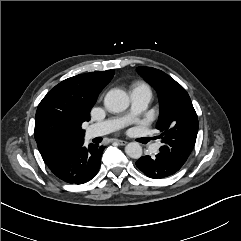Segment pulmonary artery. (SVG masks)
Instances as JSON below:
<instances>
[{"label":"pulmonary artery","instance_id":"1","mask_svg":"<svg viewBox=\"0 0 241 241\" xmlns=\"http://www.w3.org/2000/svg\"><path fill=\"white\" fill-rule=\"evenodd\" d=\"M151 97L152 94L148 87L133 88L131 90L132 105L129 112L121 117L109 119L91 125L86 130V137L93 138L102 136L134 122L147 108Z\"/></svg>","mask_w":241,"mask_h":241}]
</instances>
